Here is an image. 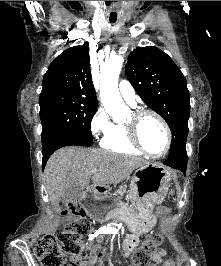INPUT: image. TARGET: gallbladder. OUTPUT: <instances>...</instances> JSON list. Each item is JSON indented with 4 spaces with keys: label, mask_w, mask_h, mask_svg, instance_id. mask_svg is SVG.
Here are the masks:
<instances>
[{
    "label": "gallbladder",
    "mask_w": 221,
    "mask_h": 266,
    "mask_svg": "<svg viewBox=\"0 0 221 266\" xmlns=\"http://www.w3.org/2000/svg\"><path fill=\"white\" fill-rule=\"evenodd\" d=\"M83 192H84V187L78 185H71L65 190L61 198V201L63 203L77 202L82 196Z\"/></svg>",
    "instance_id": "gallbladder-1"
}]
</instances>
